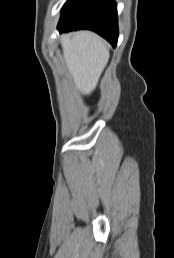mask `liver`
Instances as JSON below:
<instances>
[{
	"mask_svg": "<svg viewBox=\"0 0 174 258\" xmlns=\"http://www.w3.org/2000/svg\"><path fill=\"white\" fill-rule=\"evenodd\" d=\"M61 46L75 86L89 95L95 90L109 60L104 41L91 31H79L74 35H63Z\"/></svg>",
	"mask_w": 174,
	"mask_h": 258,
	"instance_id": "liver-1",
	"label": "liver"
}]
</instances>
